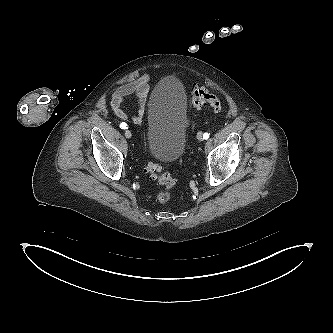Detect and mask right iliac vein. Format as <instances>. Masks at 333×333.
I'll use <instances>...</instances> for the list:
<instances>
[{"instance_id": "1", "label": "right iliac vein", "mask_w": 333, "mask_h": 333, "mask_svg": "<svg viewBox=\"0 0 333 333\" xmlns=\"http://www.w3.org/2000/svg\"><path fill=\"white\" fill-rule=\"evenodd\" d=\"M125 136H126V138H131L132 134H131L130 130L125 131Z\"/></svg>"}]
</instances>
